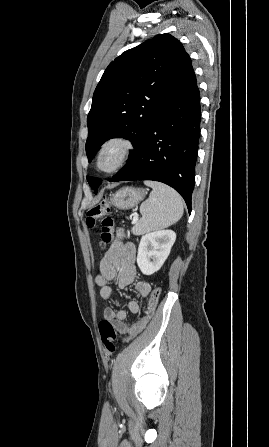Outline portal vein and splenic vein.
<instances>
[{
  "label": "portal vein and splenic vein",
  "mask_w": 269,
  "mask_h": 447,
  "mask_svg": "<svg viewBox=\"0 0 269 447\" xmlns=\"http://www.w3.org/2000/svg\"><path fill=\"white\" fill-rule=\"evenodd\" d=\"M139 218L136 214V216H133V220H132V224H136V222H138Z\"/></svg>",
  "instance_id": "18ae733b"
}]
</instances>
